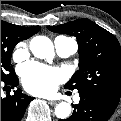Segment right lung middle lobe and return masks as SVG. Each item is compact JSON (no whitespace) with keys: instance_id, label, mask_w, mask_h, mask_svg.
I'll list each match as a JSON object with an SVG mask.
<instances>
[{"instance_id":"right-lung-middle-lobe-1","label":"right lung middle lobe","mask_w":121,"mask_h":121,"mask_svg":"<svg viewBox=\"0 0 121 121\" xmlns=\"http://www.w3.org/2000/svg\"><path fill=\"white\" fill-rule=\"evenodd\" d=\"M25 39L27 36L20 26L1 20V80L13 72L10 66L12 50L18 42Z\"/></svg>"}]
</instances>
